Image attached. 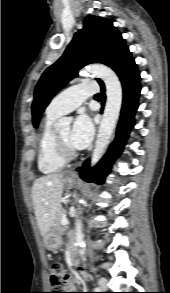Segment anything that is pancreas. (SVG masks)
<instances>
[{
	"label": "pancreas",
	"mask_w": 170,
	"mask_h": 293,
	"mask_svg": "<svg viewBox=\"0 0 170 293\" xmlns=\"http://www.w3.org/2000/svg\"><path fill=\"white\" fill-rule=\"evenodd\" d=\"M66 214L63 209H61L57 215V218L55 220L54 224V230L58 233H63L65 231V228L61 224V220L65 218Z\"/></svg>",
	"instance_id": "1"
}]
</instances>
